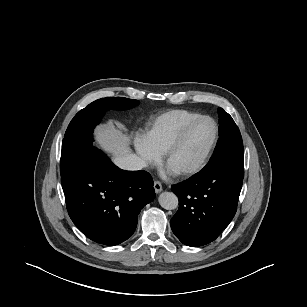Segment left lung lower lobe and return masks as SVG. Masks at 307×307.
Masks as SVG:
<instances>
[{"label": "left lung lower lobe", "mask_w": 307, "mask_h": 307, "mask_svg": "<svg viewBox=\"0 0 307 307\" xmlns=\"http://www.w3.org/2000/svg\"><path fill=\"white\" fill-rule=\"evenodd\" d=\"M242 180L215 169L173 185L171 190L179 198V209L171 219L175 236L192 247L215 240L236 213Z\"/></svg>", "instance_id": "left-lung-lower-lobe-1"}]
</instances>
